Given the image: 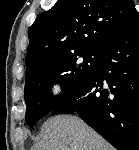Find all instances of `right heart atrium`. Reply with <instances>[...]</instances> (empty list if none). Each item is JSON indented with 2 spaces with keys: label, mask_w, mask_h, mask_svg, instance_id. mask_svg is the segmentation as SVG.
Here are the masks:
<instances>
[{
  "label": "right heart atrium",
  "mask_w": 139,
  "mask_h": 150,
  "mask_svg": "<svg viewBox=\"0 0 139 150\" xmlns=\"http://www.w3.org/2000/svg\"><path fill=\"white\" fill-rule=\"evenodd\" d=\"M62 92V85L59 81H54L50 87V94L56 99Z\"/></svg>",
  "instance_id": "obj_1"
}]
</instances>
